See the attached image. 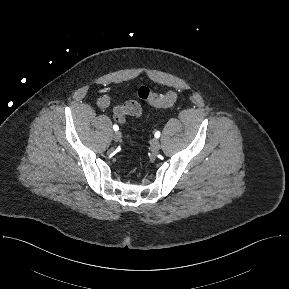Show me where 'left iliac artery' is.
Segmentation results:
<instances>
[{
	"mask_svg": "<svg viewBox=\"0 0 289 289\" xmlns=\"http://www.w3.org/2000/svg\"><path fill=\"white\" fill-rule=\"evenodd\" d=\"M160 135H161L160 131H157L154 136H155V138H159Z\"/></svg>",
	"mask_w": 289,
	"mask_h": 289,
	"instance_id": "44dca946",
	"label": "left iliac artery"
}]
</instances>
